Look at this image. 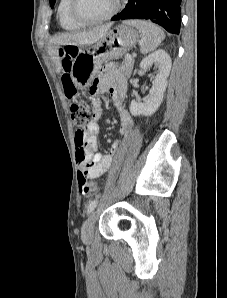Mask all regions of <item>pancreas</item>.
<instances>
[{"instance_id": "pancreas-1", "label": "pancreas", "mask_w": 227, "mask_h": 298, "mask_svg": "<svg viewBox=\"0 0 227 298\" xmlns=\"http://www.w3.org/2000/svg\"><path fill=\"white\" fill-rule=\"evenodd\" d=\"M133 65H134V60H127L125 58V60L123 61V63L120 66V71L123 72L125 75H130L132 70H133Z\"/></svg>"}]
</instances>
